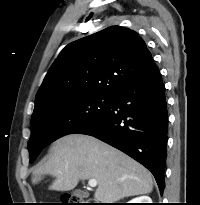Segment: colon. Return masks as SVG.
I'll list each match as a JSON object with an SVG mask.
<instances>
[{"label": "colon", "instance_id": "colon-1", "mask_svg": "<svg viewBox=\"0 0 200 205\" xmlns=\"http://www.w3.org/2000/svg\"><path fill=\"white\" fill-rule=\"evenodd\" d=\"M62 205H85L80 197L67 195L62 198Z\"/></svg>", "mask_w": 200, "mask_h": 205}]
</instances>
